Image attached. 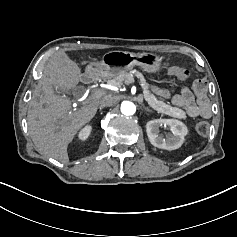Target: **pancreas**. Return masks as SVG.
Wrapping results in <instances>:
<instances>
[{
	"label": "pancreas",
	"instance_id": "cf45deb5",
	"mask_svg": "<svg viewBox=\"0 0 237 237\" xmlns=\"http://www.w3.org/2000/svg\"><path fill=\"white\" fill-rule=\"evenodd\" d=\"M135 76L138 78V82L142 88L145 100L152 109L158 111L161 114H166L174 118L186 119L185 111L168 106L163 101L158 100V98L150 91V84L146 82L144 76L139 71L134 70L129 73H122L116 77H113L111 80H108V83L118 86L123 82H126V80L131 79L135 81Z\"/></svg>",
	"mask_w": 237,
	"mask_h": 237
}]
</instances>
